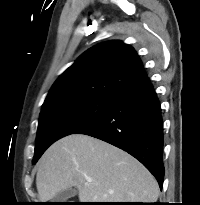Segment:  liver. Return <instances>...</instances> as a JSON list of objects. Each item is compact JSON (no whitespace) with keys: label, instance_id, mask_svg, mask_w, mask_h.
<instances>
[{"label":"liver","instance_id":"liver-1","mask_svg":"<svg viewBox=\"0 0 200 205\" xmlns=\"http://www.w3.org/2000/svg\"><path fill=\"white\" fill-rule=\"evenodd\" d=\"M36 186L41 202L72 187L80 202H155L159 196L157 181L139 161L82 134L66 136L46 150L37 165Z\"/></svg>","mask_w":200,"mask_h":205}]
</instances>
